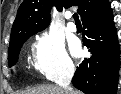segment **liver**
<instances>
[{
    "label": "liver",
    "mask_w": 121,
    "mask_h": 94,
    "mask_svg": "<svg viewBox=\"0 0 121 94\" xmlns=\"http://www.w3.org/2000/svg\"><path fill=\"white\" fill-rule=\"evenodd\" d=\"M19 94H65V93L62 87L48 84L24 90ZM73 94H82V93L80 91H73Z\"/></svg>",
    "instance_id": "1"
}]
</instances>
